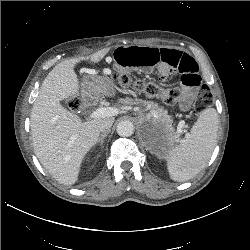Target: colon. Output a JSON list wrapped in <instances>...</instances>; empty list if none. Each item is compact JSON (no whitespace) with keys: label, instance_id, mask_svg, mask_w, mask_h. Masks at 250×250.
<instances>
[{"label":"colon","instance_id":"colon-1","mask_svg":"<svg viewBox=\"0 0 250 250\" xmlns=\"http://www.w3.org/2000/svg\"><path fill=\"white\" fill-rule=\"evenodd\" d=\"M114 80L123 86H132L138 92L150 97L161 99L167 105H175L183 101L184 95L179 88L163 87L154 82L133 80L129 75L115 73ZM213 102V95L207 86H202L193 105V112L200 114L205 111ZM68 107L73 111L81 108L82 102L79 97H71L67 102Z\"/></svg>","mask_w":250,"mask_h":250}]
</instances>
